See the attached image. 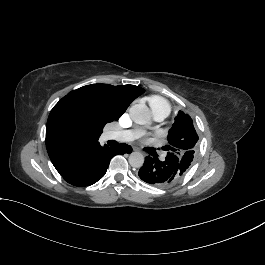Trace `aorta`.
I'll list each match as a JSON object with an SVG mask.
<instances>
[{
	"label": "aorta",
	"instance_id": "obj_1",
	"mask_svg": "<svg viewBox=\"0 0 265 265\" xmlns=\"http://www.w3.org/2000/svg\"><path fill=\"white\" fill-rule=\"evenodd\" d=\"M130 116L137 124H149L151 121V112L145 104H135L131 106ZM129 164L134 168H140L144 164V156L140 152H132L129 156Z\"/></svg>",
	"mask_w": 265,
	"mask_h": 265
}]
</instances>
